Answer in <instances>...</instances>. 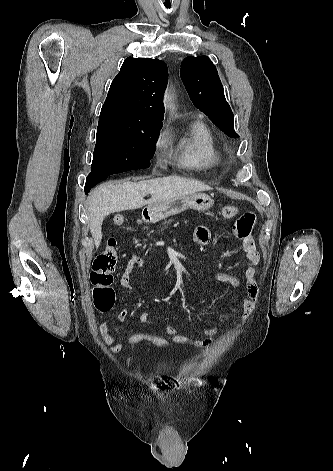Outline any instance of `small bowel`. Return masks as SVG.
I'll return each mask as SVG.
<instances>
[{"label": "small bowel", "instance_id": "obj_1", "mask_svg": "<svg viewBox=\"0 0 333 471\" xmlns=\"http://www.w3.org/2000/svg\"><path fill=\"white\" fill-rule=\"evenodd\" d=\"M255 222V215L253 213H244L241 215L233 226L234 233L242 242V248L248 261V266L245 270L244 280L238 277L218 272L213 275V279L219 283H226L234 288L244 286L246 295L242 298L241 304L243 309V319L246 320L252 314L255 308L256 301L259 297V287L255 281L256 265L260 261V254L256 248L254 238L252 236V228ZM210 240V232L204 226H199L194 232V241L198 245H206ZM144 265V260L133 254L128 259L123 273L120 277V284L127 290H132V276L134 272ZM129 314L127 307L123 308L119 314L118 319L121 321L126 320ZM139 320L142 324L151 325L153 321L150 315L146 312L141 313ZM110 321H104L100 325V334L102 340L110 347L111 353H119L123 349L121 341L116 339L109 333ZM217 328L210 326L203 329L204 338L194 339L190 336L180 334L178 329L174 326H168L165 329V335L172 343L176 344H189L195 347H207L211 344L213 338L217 334Z\"/></svg>", "mask_w": 333, "mask_h": 471}]
</instances>
